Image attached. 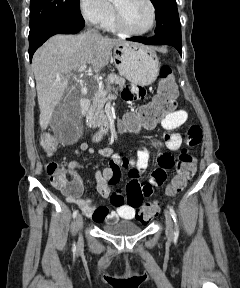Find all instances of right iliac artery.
Listing matches in <instances>:
<instances>
[{
  "mask_svg": "<svg viewBox=\"0 0 240 288\" xmlns=\"http://www.w3.org/2000/svg\"><path fill=\"white\" fill-rule=\"evenodd\" d=\"M77 213H78L77 210H75V211L73 212V218H75V217L77 216ZM72 250H73V252L76 251V245H75V243L73 244V248H72Z\"/></svg>",
  "mask_w": 240,
  "mask_h": 288,
  "instance_id": "obj_1",
  "label": "right iliac artery"
}]
</instances>
